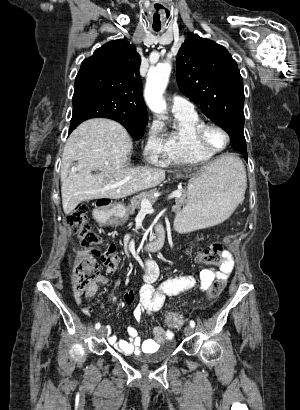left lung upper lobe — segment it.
I'll return each mask as SVG.
<instances>
[{
    "label": "left lung upper lobe",
    "mask_w": 300,
    "mask_h": 410,
    "mask_svg": "<svg viewBox=\"0 0 300 410\" xmlns=\"http://www.w3.org/2000/svg\"><path fill=\"white\" fill-rule=\"evenodd\" d=\"M176 76L182 93L229 134L232 148L247 156L243 80L227 49L189 34L177 55Z\"/></svg>",
    "instance_id": "1"
}]
</instances>
